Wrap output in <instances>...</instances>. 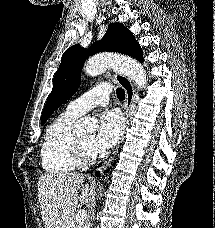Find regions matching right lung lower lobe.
Here are the masks:
<instances>
[{
	"instance_id": "obj_1",
	"label": "right lung lower lobe",
	"mask_w": 215,
	"mask_h": 228,
	"mask_svg": "<svg viewBox=\"0 0 215 228\" xmlns=\"http://www.w3.org/2000/svg\"><path fill=\"white\" fill-rule=\"evenodd\" d=\"M95 174H96V176H99V172H96Z\"/></svg>"
}]
</instances>
